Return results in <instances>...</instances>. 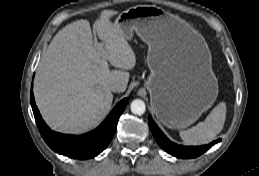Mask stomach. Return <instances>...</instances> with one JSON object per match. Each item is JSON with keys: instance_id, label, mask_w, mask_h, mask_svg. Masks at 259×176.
Returning <instances> with one entry per match:
<instances>
[{"instance_id": "0dacf381", "label": "stomach", "mask_w": 259, "mask_h": 176, "mask_svg": "<svg viewBox=\"0 0 259 176\" xmlns=\"http://www.w3.org/2000/svg\"><path fill=\"white\" fill-rule=\"evenodd\" d=\"M114 24L127 40L136 32L148 44L150 76L145 87L164 125L186 128L213 105L218 82L210 53L185 21L158 6L139 5L120 13Z\"/></svg>"}]
</instances>
